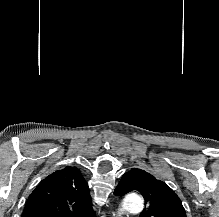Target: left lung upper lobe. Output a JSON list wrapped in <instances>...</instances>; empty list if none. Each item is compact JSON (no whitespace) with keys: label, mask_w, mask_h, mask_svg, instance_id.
<instances>
[{"label":"left lung upper lobe","mask_w":219,"mask_h":217,"mask_svg":"<svg viewBox=\"0 0 219 217\" xmlns=\"http://www.w3.org/2000/svg\"><path fill=\"white\" fill-rule=\"evenodd\" d=\"M140 193L145 208L140 217H186L181 200L168 185L141 169H131L122 176L114 194L122 196L128 192Z\"/></svg>","instance_id":"5c2ea615"}]
</instances>
